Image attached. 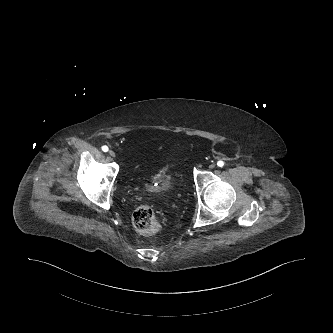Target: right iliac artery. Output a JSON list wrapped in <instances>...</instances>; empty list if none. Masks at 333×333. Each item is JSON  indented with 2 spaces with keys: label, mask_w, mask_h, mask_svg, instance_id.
<instances>
[{
  "label": "right iliac artery",
  "mask_w": 333,
  "mask_h": 333,
  "mask_svg": "<svg viewBox=\"0 0 333 333\" xmlns=\"http://www.w3.org/2000/svg\"><path fill=\"white\" fill-rule=\"evenodd\" d=\"M102 150H103L104 152H107V151H108V147H107L106 145H104V146H102Z\"/></svg>",
  "instance_id": "82829eb1"
}]
</instances>
